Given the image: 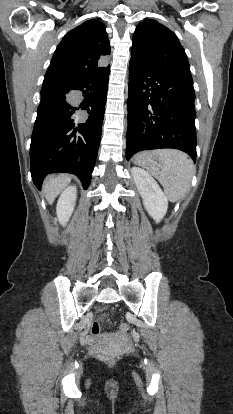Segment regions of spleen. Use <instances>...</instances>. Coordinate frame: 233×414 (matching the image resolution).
Here are the masks:
<instances>
[{
	"instance_id": "obj_1",
	"label": "spleen",
	"mask_w": 233,
	"mask_h": 414,
	"mask_svg": "<svg viewBox=\"0 0 233 414\" xmlns=\"http://www.w3.org/2000/svg\"><path fill=\"white\" fill-rule=\"evenodd\" d=\"M154 155L158 163L149 165L138 155L135 164L146 168L161 183L171 201L181 200L188 193L195 173L193 161L184 152L174 149L155 151Z\"/></svg>"
}]
</instances>
